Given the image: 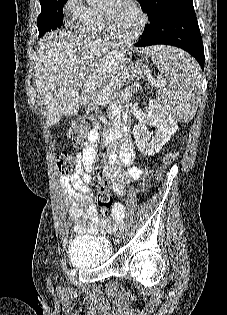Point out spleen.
<instances>
[{
  "label": "spleen",
  "mask_w": 227,
  "mask_h": 315,
  "mask_svg": "<svg viewBox=\"0 0 227 315\" xmlns=\"http://www.w3.org/2000/svg\"><path fill=\"white\" fill-rule=\"evenodd\" d=\"M165 79L155 86L160 88L159 105L179 122L190 121L201 94L199 65L183 51L158 46L147 51Z\"/></svg>",
  "instance_id": "1"
}]
</instances>
